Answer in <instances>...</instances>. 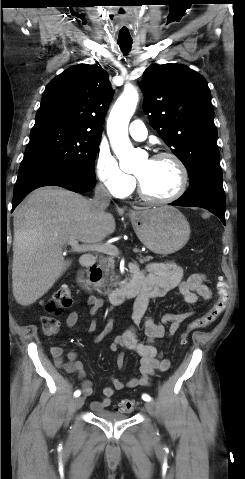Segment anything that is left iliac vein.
Returning a JSON list of instances; mask_svg holds the SVG:
<instances>
[{
	"label": "left iliac vein",
	"mask_w": 245,
	"mask_h": 479,
	"mask_svg": "<svg viewBox=\"0 0 245 479\" xmlns=\"http://www.w3.org/2000/svg\"><path fill=\"white\" fill-rule=\"evenodd\" d=\"M144 407L150 415L155 416V406L152 402H145Z\"/></svg>",
	"instance_id": "1"
}]
</instances>
